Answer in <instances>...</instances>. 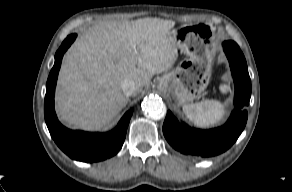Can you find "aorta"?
Masks as SVG:
<instances>
[{
	"mask_svg": "<svg viewBox=\"0 0 292 192\" xmlns=\"http://www.w3.org/2000/svg\"><path fill=\"white\" fill-rule=\"evenodd\" d=\"M142 110L153 119H161L165 115V107L162 99L158 96L150 95L145 97L141 104Z\"/></svg>",
	"mask_w": 292,
	"mask_h": 192,
	"instance_id": "762f6f07",
	"label": "aorta"
}]
</instances>
